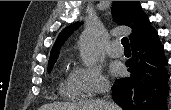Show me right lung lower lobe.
<instances>
[{
	"label": "right lung lower lobe",
	"instance_id": "right-lung-lower-lobe-1",
	"mask_svg": "<svg viewBox=\"0 0 171 110\" xmlns=\"http://www.w3.org/2000/svg\"><path fill=\"white\" fill-rule=\"evenodd\" d=\"M130 75L112 87L113 100L124 110H166L169 94L168 60L157 32L131 45Z\"/></svg>",
	"mask_w": 171,
	"mask_h": 110
}]
</instances>
